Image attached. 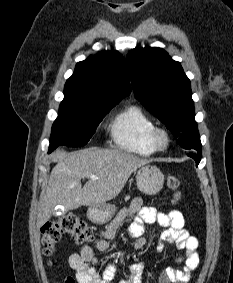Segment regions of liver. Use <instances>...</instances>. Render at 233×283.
<instances>
[{
    "mask_svg": "<svg viewBox=\"0 0 233 283\" xmlns=\"http://www.w3.org/2000/svg\"><path fill=\"white\" fill-rule=\"evenodd\" d=\"M46 192L39 200L37 227L51 218L56 205L66 210L97 206L115 198L131 174L150 162L128 152L89 148L72 154L57 149ZM95 175L98 179H91ZM88 178L82 188L81 179Z\"/></svg>",
    "mask_w": 233,
    "mask_h": 283,
    "instance_id": "6515ba94",
    "label": "liver"
}]
</instances>
